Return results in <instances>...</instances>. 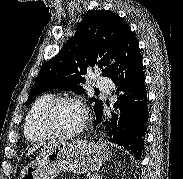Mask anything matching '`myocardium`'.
<instances>
[{
	"mask_svg": "<svg viewBox=\"0 0 183 179\" xmlns=\"http://www.w3.org/2000/svg\"><path fill=\"white\" fill-rule=\"evenodd\" d=\"M61 103H72L78 106L83 114V119L81 124L74 131L70 133H58L55 132L49 125V119L54 111V109ZM89 121V114L85 104L78 98L72 96H57L51 99L47 105L43 108L40 118H39V126L42 132L47 135L49 138L55 139H71L79 135L86 127Z\"/></svg>",
	"mask_w": 183,
	"mask_h": 179,
	"instance_id": "myocardium-1",
	"label": "myocardium"
}]
</instances>
